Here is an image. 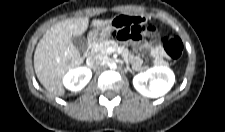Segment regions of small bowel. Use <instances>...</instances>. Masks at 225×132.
Masks as SVG:
<instances>
[{
	"label": "small bowel",
	"instance_id": "small-bowel-1",
	"mask_svg": "<svg viewBox=\"0 0 225 132\" xmlns=\"http://www.w3.org/2000/svg\"><path fill=\"white\" fill-rule=\"evenodd\" d=\"M146 22L145 18L140 16H123L120 18V26H133L137 24H144ZM135 49L137 51H149L152 56V62L155 66L163 65L165 62V52L163 48L154 40L152 43L148 44L146 42H137L135 44ZM131 63L136 70L143 71L147 68L143 59L134 55L131 57Z\"/></svg>",
	"mask_w": 225,
	"mask_h": 132
}]
</instances>
